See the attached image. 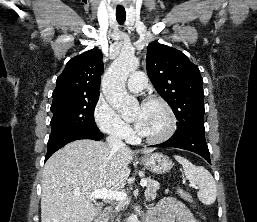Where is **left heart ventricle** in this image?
Listing matches in <instances>:
<instances>
[{
  "mask_svg": "<svg viewBox=\"0 0 257 222\" xmlns=\"http://www.w3.org/2000/svg\"><path fill=\"white\" fill-rule=\"evenodd\" d=\"M132 120L142 121V129L139 133L148 137L163 133L168 125L167 113L158 103L138 106L133 112Z\"/></svg>",
  "mask_w": 257,
  "mask_h": 222,
  "instance_id": "obj_1",
  "label": "left heart ventricle"
}]
</instances>
